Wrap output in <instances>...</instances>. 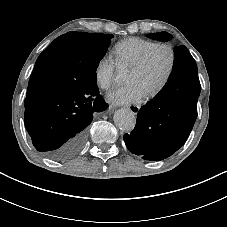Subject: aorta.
<instances>
[{"label":"aorta","instance_id":"762f6f07","mask_svg":"<svg viewBox=\"0 0 227 227\" xmlns=\"http://www.w3.org/2000/svg\"><path fill=\"white\" fill-rule=\"evenodd\" d=\"M122 72L118 73L117 78H121ZM115 125L123 131L130 132L134 129L136 124V117L129 109H119L114 114Z\"/></svg>","mask_w":227,"mask_h":227}]
</instances>
